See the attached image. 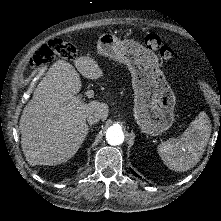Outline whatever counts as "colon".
Returning a JSON list of instances; mask_svg holds the SVG:
<instances>
[{"instance_id": "colon-1", "label": "colon", "mask_w": 221, "mask_h": 221, "mask_svg": "<svg viewBox=\"0 0 221 221\" xmlns=\"http://www.w3.org/2000/svg\"><path fill=\"white\" fill-rule=\"evenodd\" d=\"M144 45L160 54L163 59L174 58L172 47L157 35L149 34L143 40ZM77 47L72 41L52 40L37 49L29 59V68L35 69L53 62L57 57L70 60L77 56Z\"/></svg>"}]
</instances>
